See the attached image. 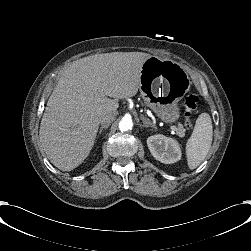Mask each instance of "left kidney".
I'll return each instance as SVG.
<instances>
[{
    "instance_id": "5707ae66",
    "label": "left kidney",
    "mask_w": 251,
    "mask_h": 251,
    "mask_svg": "<svg viewBox=\"0 0 251 251\" xmlns=\"http://www.w3.org/2000/svg\"><path fill=\"white\" fill-rule=\"evenodd\" d=\"M147 145L152 156L164 164H174L182 158L181 144L176 138L155 134L147 138Z\"/></svg>"
}]
</instances>
